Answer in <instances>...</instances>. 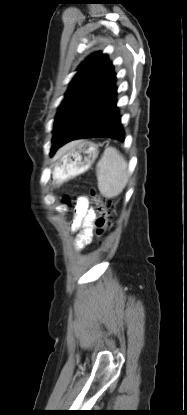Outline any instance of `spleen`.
<instances>
[{"mask_svg":"<svg viewBox=\"0 0 187 415\" xmlns=\"http://www.w3.org/2000/svg\"><path fill=\"white\" fill-rule=\"evenodd\" d=\"M96 175L100 193L106 198L117 197L128 182L127 162L117 149L108 147L97 163Z\"/></svg>","mask_w":187,"mask_h":415,"instance_id":"obj_1","label":"spleen"}]
</instances>
